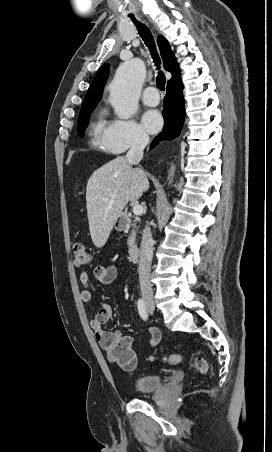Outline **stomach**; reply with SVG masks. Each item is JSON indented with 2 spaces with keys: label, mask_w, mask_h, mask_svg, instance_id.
I'll return each mask as SVG.
<instances>
[{
  "label": "stomach",
  "mask_w": 272,
  "mask_h": 452,
  "mask_svg": "<svg viewBox=\"0 0 272 452\" xmlns=\"http://www.w3.org/2000/svg\"><path fill=\"white\" fill-rule=\"evenodd\" d=\"M115 225L118 229L123 228L124 223H123V216L122 214L118 217L117 221L115 222Z\"/></svg>",
  "instance_id": "0dacf381"
}]
</instances>
